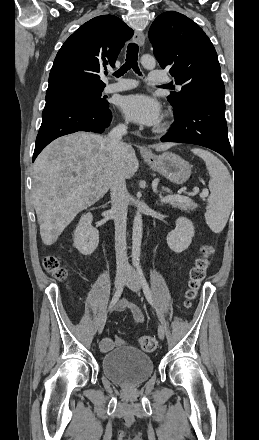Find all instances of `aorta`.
I'll return each instance as SVG.
<instances>
[{"label": "aorta", "instance_id": "obj_1", "mask_svg": "<svg viewBox=\"0 0 259 440\" xmlns=\"http://www.w3.org/2000/svg\"><path fill=\"white\" fill-rule=\"evenodd\" d=\"M141 64L145 69L152 70L155 68L156 61L151 55H143L141 57ZM142 215L140 211H137L133 221L132 232V257L133 261H139L142 241Z\"/></svg>", "mask_w": 259, "mask_h": 440}]
</instances>
